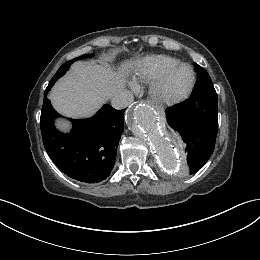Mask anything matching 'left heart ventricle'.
I'll list each match as a JSON object with an SVG mask.
<instances>
[{"mask_svg": "<svg viewBox=\"0 0 260 260\" xmlns=\"http://www.w3.org/2000/svg\"><path fill=\"white\" fill-rule=\"evenodd\" d=\"M191 72L187 67H180L169 77L166 90L175 93L182 90L190 81Z\"/></svg>", "mask_w": 260, "mask_h": 260, "instance_id": "left-heart-ventricle-1", "label": "left heart ventricle"}]
</instances>
